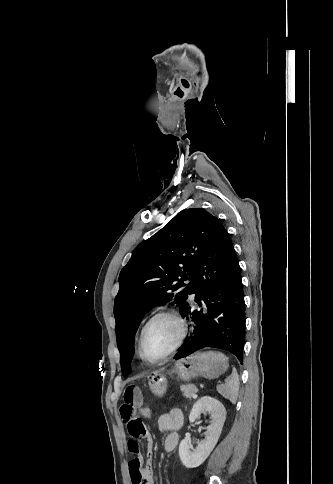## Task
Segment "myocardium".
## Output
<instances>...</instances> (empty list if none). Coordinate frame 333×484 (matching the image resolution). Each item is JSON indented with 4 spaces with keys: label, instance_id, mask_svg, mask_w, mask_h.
Wrapping results in <instances>:
<instances>
[{
    "label": "myocardium",
    "instance_id": "obj_1",
    "mask_svg": "<svg viewBox=\"0 0 333 484\" xmlns=\"http://www.w3.org/2000/svg\"><path fill=\"white\" fill-rule=\"evenodd\" d=\"M160 318H169L173 320L179 328V334L178 337L176 338L175 342L172 344V346L160 357L158 358H149L148 356L145 355L143 351V342H144V336L145 333L148 329V327L156 320ZM188 335V324L184 317H182L179 313L173 310H163L155 313L152 315L146 323L143 325L140 335H139V340H138V354L140 357L150 363H159L167 359L169 356H171L174 352H176L180 346L183 344L185 341L186 337Z\"/></svg>",
    "mask_w": 333,
    "mask_h": 484
}]
</instances>
